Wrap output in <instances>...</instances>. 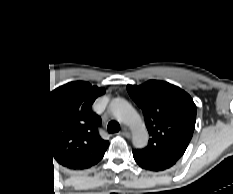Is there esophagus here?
Listing matches in <instances>:
<instances>
[{"instance_id":"obj_1","label":"esophagus","mask_w":233,"mask_h":194,"mask_svg":"<svg viewBox=\"0 0 233 194\" xmlns=\"http://www.w3.org/2000/svg\"><path fill=\"white\" fill-rule=\"evenodd\" d=\"M121 134H122L123 136H125L126 138H130V137H131L130 132H128L127 130H123V131L121 132Z\"/></svg>"}]
</instances>
